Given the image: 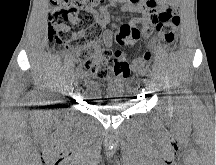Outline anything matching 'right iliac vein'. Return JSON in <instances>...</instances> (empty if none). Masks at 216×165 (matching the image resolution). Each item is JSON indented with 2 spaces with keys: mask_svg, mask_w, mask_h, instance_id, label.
Here are the masks:
<instances>
[{
  "mask_svg": "<svg viewBox=\"0 0 216 165\" xmlns=\"http://www.w3.org/2000/svg\"><path fill=\"white\" fill-rule=\"evenodd\" d=\"M79 79H80V76L79 75H76L75 76V79L72 81L74 84L78 83L79 82Z\"/></svg>",
  "mask_w": 216,
  "mask_h": 165,
  "instance_id": "63e3f726",
  "label": "right iliac vein"
}]
</instances>
